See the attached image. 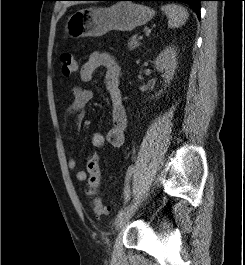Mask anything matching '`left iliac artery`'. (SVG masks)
I'll list each match as a JSON object with an SVG mask.
<instances>
[{
    "label": "left iliac artery",
    "mask_w": 245,
    "mask_h": 265,
    "mask_svg": "<svg viewBox=\"0 0 245 265\" xmlns=\"http://www.w3.org/2000/svg\"><path fill=\"white\" fill-rule=\"evenodd\" d=\"M135 172V166L134 165H131L128 167V170L126 172V183H127V186L125 187L124 189V199H125V205L126 203L130 200V190H129V187H128V183H129V180L132 176V174ZM129 206H124V208H122L119 213L117 214V218H121L126 210L128 209Z\"/></svg>",
    "instance_id": "left-iliac-artery-1"
}]
</instances>
